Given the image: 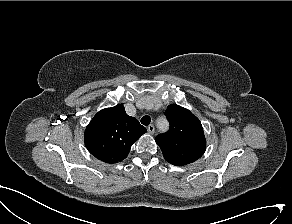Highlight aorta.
<instances>
[{"label":"aorta","instance_id":"1","mask_svg":"<svg viewBox=\"0 0 292 224\" xmlns=\"http://www.w3.org/2000/svg\"><path fill=\"white\" fill-rule=\"evenodd\" d=\"M162 124L167 125V122L165 121V119H159V120H158V125L160 126V125H162Z\"/></svg>","mask_w":292,"mask_h":224}]
</instances>
